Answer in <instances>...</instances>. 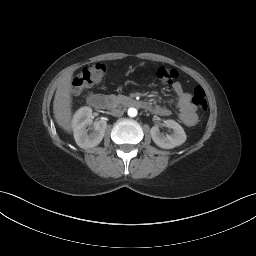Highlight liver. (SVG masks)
I'll return each mask as SVG.
<instances>
[{
  "label": "liver",
  "mask_w": 256,
  "mask_h": 256,
  "mask_svg": "<svg viewBox=\"0 0 256 256\" xmlns=\"http://www.w3.org/2000/svg\"><path fill=\"white\" fill-rule=\"evenodd\" d=\"M73 72L65 74L57 87L53 102V113L57 124L67 133L72 131L71 82Z\"/></svg>",
  "instance_id": "liver-1"
}]
</instances>
